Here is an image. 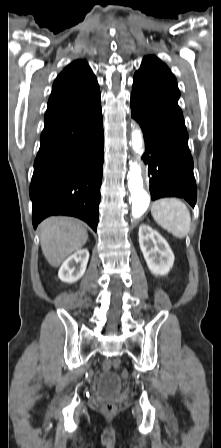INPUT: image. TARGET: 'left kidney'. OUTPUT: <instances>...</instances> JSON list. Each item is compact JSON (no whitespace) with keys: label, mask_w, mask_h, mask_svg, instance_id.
Returning a JSON list of instances; mask_svg holds the SVG:
<instances>
[{"label":"left kidney","mask_w":221,"mask_h":448,"mask_svg":"<svg viewBox=\"0 0 221 448\" xmlns=\"http://www.w3.org/2000/svg\"><path fill=\"white\" fill-rule=\"evenodd\" d=\"M139 244L149 270L157 276L168 274L175 257L167 241L150 226L141 225Z\"/></svg>","instance_id":"1"}]
</instances>
